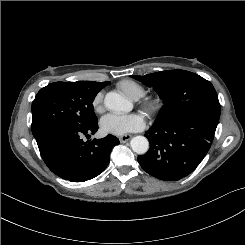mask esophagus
Masks as SVG:
<instances>
[{"label":"esophagus","instance_id":"esophagus-1","mask_svg":"<svg viewBox=\"0 0 245 245\" xmlns=\"http://www.w3.org/2000/svg\"><path fill=\"white\" fill-rule=\"evenodd\" d=\"M131 138H132L131 135H123V136H120L119 137V141L121 143H125V142L129 141Z\"/></svg>","mask_w":245,"mask_h":245}]
</instances>
